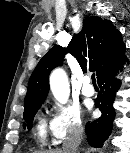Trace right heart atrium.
Listing matches in <instances>:
<instances>
[{
    "instance_id": "1",
    "label": "right heart atrium",
    "mask_w": 130,
    "mask_h": 153,
    "mask_svg": "<svg viewBox=\"0 0 130 153\" xmlns=\"http://www.w3.org/2000/svg\"><path fill=\"white\" fill-rule=\"evenodd\" d=\"M53 117L50 122L52 143L59 145L67 139L77 136L83 128L80 111L72 105L56 104L53 107Z\"/></svg>"
}]
</instances>
